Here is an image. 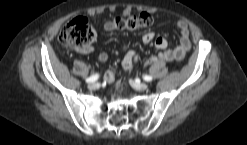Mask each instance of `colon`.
Segmentation results:
<instances>
[{
    "instance_id": "5ec220e1",
    "label": "colon",
    "mask_w": 247,
    "mask_h": 145,
    "mask_svg": "<svg viewBox=\"0 0 247 145\" xmlns=\"http://www.w3.org/2000/svg\"><path fill=\"white\" fill-rule=\"evenodd\" d=\"M153 22L152 17L147 13L131 15L128 17H115L112 21V28L118 30H137L149 27ZM96 39V32L88 19L78 16L65 24L59 33L60 42L75 50H84L92 45Z\"/></svg>"
}]
</instances>
